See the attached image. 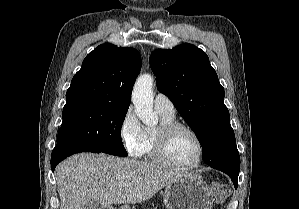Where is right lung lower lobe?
Wrapping results in <instances>:
<instances>
[{"mask_svg": "<svg viewBox=\"0 0 299 209\" xmlns=\"http://www.w3.org/2000/svg\"><path fill=\"white\" fill-rule=\"evenodd\" d=\"M79 152H94V153H102L99 150L84 148V147H77V146H69V145H56L53 149L52 156H51V169L54 172L55 167L57 164L67 158L68 156L79 153Z\"/></svg>", "mask_w": 299, "mask_h": 209, "instance_id": "right-lung-lower-lobe-1", "label": "right lung lower lobe"}]
</instances>
